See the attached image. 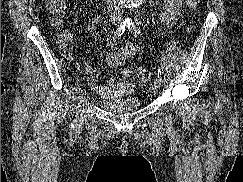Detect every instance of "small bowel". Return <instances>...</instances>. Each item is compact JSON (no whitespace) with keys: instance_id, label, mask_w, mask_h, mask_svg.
<instances>
[{"instance_id":"c3829d8e","label":"small bowel","mask_w":243,"mask_h":182,"mask_svg":"<svg viewBox=\"0 0 243 182\" xmlns=\"http://www.w3.org/2000/svg\"><path fill=\"white\" fill-rule=\"evenodd\" d=\"M183 0H163L164 8L161 16L164 27L169 28L174 25L178 17ZM119 39L110 37L108 40V50L106 59L108 66L113 69L120 70V78L118 81L109 80L101 83L100 71L97 67L85 63L87 73L86 81L88 86L97 92L102 98L115 101L119 98L127 96L134 91V86L130 81L131 72L125 67V62L135 56L139 51V46L134 43H125L118 45ZM89 50H86V54Z\"/></svg>"}]
</instances>
